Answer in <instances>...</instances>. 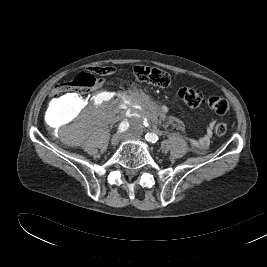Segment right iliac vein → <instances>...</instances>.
I'll return each mask as SVG.
<instances>
[{"label": "right iliac vein", "mask_w": 267, "mask_h": 267, "mask_svg": "<svg viewBox=\"0 0 267 267\" xmlns=\"http://www.w3.org/2000/svg\"><path fill=\"white\" fill-rule=\"evenodd\" d=\"M120 139H121V135L120 134L117 133V134L113 135L112 139H111V144L113 146L117 145L119 143Z\"/></svg>", "instance_id": "obj_1"}]
</instances>
